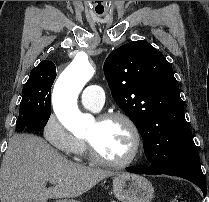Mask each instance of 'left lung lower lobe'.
<instances>
[{
  "label": "left lung lower lobe",
  "instance_id": "obj_1",
  "mask_svg": "<svg viewBox=\"0 0 209 202\" xmlns=\"http://www.w3.org/2000/svg\"><path fill=\"white\" fill-rule=\"evenodd\" d=\"M128 172L137 174L159 175L166 174L172 176H178L187 179L200 187L203 195H206V181L201 170V164L197 149L191 150L184 157H182L177 163L167 169H154L152 167L139 166L131 167L127 169Z\"/></svg>",
  "mask_w": 209,
  "mask_h": 202
}]
</instances>
